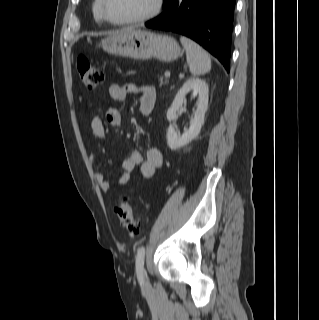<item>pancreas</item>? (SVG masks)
Segmentation results:
<instances>
[{"label":"pancreas","instance_id":"1","mask_svg":"<svg viewBox=\"0 0 319 320\" xmlns=\"http://www.w3.org/2000/svg\"><path fill=\"white\" fill-rule=\"evenodd\" d=\"M168 78L166 76L161 75L160 76V86L167 84Z\"/></svg>","mask_w":319,"mask_h":320}]
</instances>
